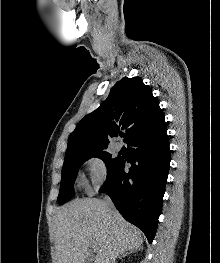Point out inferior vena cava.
Returning <instances> with one entry per match:
<instances>
[{
	"label": "inferior vena cava",
	"instance_id": "1",
	"mask_svg": "<svg viewBox=\"0 0 220 263\" xmlns=\"http://www.w3.org/2000/svg\"><path fill=\"white\" fill-rule=\"evenodd\" d=\"M104 204L106 206L107 212L112 213L114 211V209H115L114 205H113L111 199L108 196H105Z\"/></svg>",
	"mask_w": 220,
	"mask_h": 263
}]
</instances>
